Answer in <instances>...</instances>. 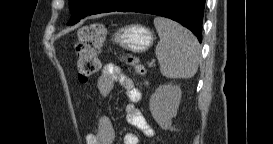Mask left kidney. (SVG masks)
Here are the masks:
<instances>
[{"label":"left kidney","mask_w":273,"mask_h":144,"mask_svg":"<svg viewBox=\"0 0 273 144\" xmlns=\"http://www.w3.org/2000/svg\"><path fill=\"white\" fill-rule=\"evenodd\" d=\"M181 100V88L171 84L160 85L149 101L152 117L158 125L167 130L172 125V118L177 115Z\"/></svg>","instance_id":"1"}]
</instances>
